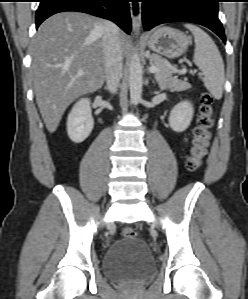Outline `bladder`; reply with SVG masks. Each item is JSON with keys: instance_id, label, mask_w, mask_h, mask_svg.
<instances>
[{"instance_id": "obj_1", "label": "bladder", "mask_w": 248, "mask_h": 299, "mask_svg": "<svg viewBox=\"0 0 248 299\" xmlns=\"http://www.w3.org/2000/svg\"><path fill=\"white\" fill-rule=\"evenodd\" d=\"M102 268L104 275L112 281H141L154 272L155 262L144 240L125 238L107 249Z\"/></svg>"}]
</instances>
